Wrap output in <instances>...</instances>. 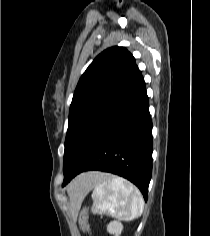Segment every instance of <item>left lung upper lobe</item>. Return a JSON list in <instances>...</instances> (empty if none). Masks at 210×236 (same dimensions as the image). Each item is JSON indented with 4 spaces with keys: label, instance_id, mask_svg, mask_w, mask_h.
<instances>
[{
    "label": "left lung upper lobe",
    "instance_id": "left-lung-upper-lobe-1",
    "mask_svg": "<svg viewBox=\"0 0 210 236\" xmlns=\"http://www.w3.org/2000/svg\"><path fill=\"white\" fill-rule=\"evenodd\" d=\"M141 75L124 47L99 54L81 76L70 106L64 162L84 129Z\"/></svg>",
    "mask_w": 210,
    "mask_h": 236
}]
</instances>
